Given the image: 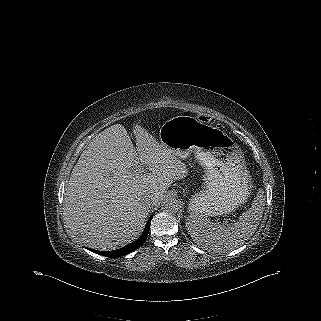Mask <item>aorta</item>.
<instances>
[{
	"mask_svg": "<svg viewBox=\"0 0 321 321\" xmlns=\"http://www.w3.org/2000/svg\"><path fill=\"white\" fill-rule=\"evenodd\" d=\"M162 209L168 213H177L180 209V201L175 196H167L162 201Z\"/></svg>",
	"mask_w": 321,
	"mask_h": 321,
	"instance_id": "aorta-1",
	"label": "aorta"
}]
</instances>
